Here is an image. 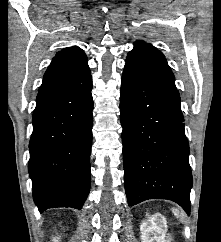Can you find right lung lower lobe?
Returning <instances> with one entry per match:
<instances>
[{
    "label": "right lung lower lobe",
    "instance_id": "98d812e1",
    "mask_svg": "<svg viewBox=\"0 0 221 242\" xmlns=\"http://www.w3.org/2000/svg\"><path fill=\"white\" fill-rule=\"evenodd\" d=\"M92 77L39 90L33 113L28 171L39 211L81 209L90 191Z\"/></svg>",
    "mask_w": 221,
    "mask_h": 242
}]
</instances>
